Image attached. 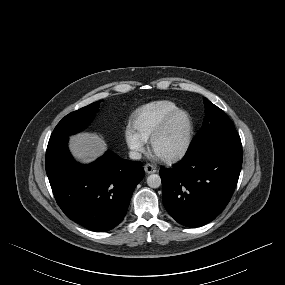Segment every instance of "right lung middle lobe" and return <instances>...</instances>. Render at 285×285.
Listing matches in <instances>:
<instances>
[{
	"label": "right lung middle lobe",
	"mask_w": 285,
	"mask_h": 285,
	"mask_svg": "<svg viewBox=\"0 0 285 285\" xmlns=\"http://www.w3.org/2000/svg\"><path fill=\"white\" fill-rule=\"evenodd\" d=\"M100 105L94 102L65 116L55 127L50 138L69 136L83 129L93 118Z\"/></svg>",
	"instance_id": "right-lung-middle-lobe-1"
}]
</instances>
